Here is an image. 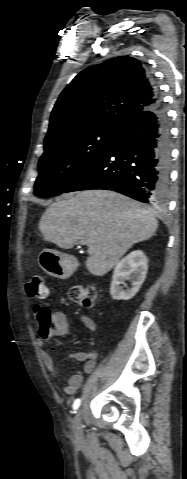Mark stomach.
<instances>
[{
	"label": "stomach",
	"mask_w": 187,
	"mask_h": 479,
	"mask_svg": "<svg viewBox=\"0 0 187 479\" xmlns=\"http://www.w3.org/2000/svg\"><path fill=\"white\" fill-rule=\"evenodd\" d=\"M38 263L47 274L60 279L68 278L73 271L68 255L55 250H42L38 256Z\"/></svg>",
	"instance_id": "0dacf381"
}]
</instances>
